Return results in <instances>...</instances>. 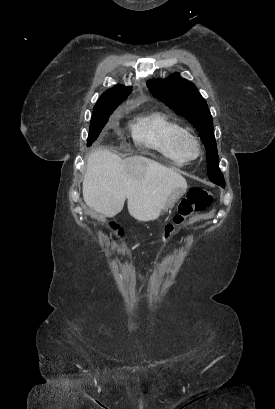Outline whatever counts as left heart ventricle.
<instances>
[{"label": "left heart ventricle", "mask_w": 275, "mask_h": 409, "mask_svg": "<svg viewBox=\"0 0 275 409\" xmlns=\"http://www.w3.org/2000/svg\"><path fill=\"white\" fill-rule=\"evenodd\" d=\"M181 151L186 156H191L194 154V147L190 142H185L182 145Z\"/></svg>", "instance_id": "obj_1"}]
</instances>
